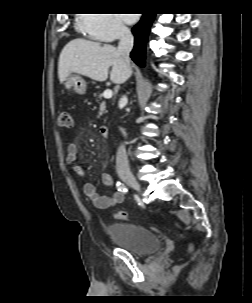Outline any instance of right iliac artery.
Here are the masks:
<instances>
[{
	"mask_svg": "<svg viewBox=\"0 0 252 303\" xmlns=\"http://www.w3.org/2000/svg\"><path fill=\"white\" fill-rule=\"evenodd\" d=\"M116 186H117L118 190L122 191L123 193H126L128 191L126 185L119 181L117 182Z\"/></svg>",
	"mask_w": 252,
	"mask_h": 303,
	"instance_id": "1",
	"label": "right iliac artery"
}]
</instances>
